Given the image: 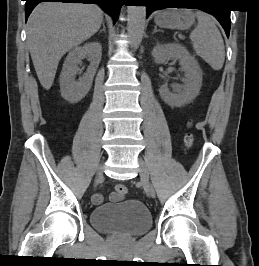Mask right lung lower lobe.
Masks as SVG:
<instances>
[{
  "mask_svg": "<svg viewBox=\"0 0 259 266\" xmlns=\"http://www.w3.org/2000/svg\"><path fill=\"white\" fill-rule=\"evenodd\" d=\"M25 18L40 2H62V3H84V4H98L107 14L113 17L114 22L117 21L120 8L125 2L124 0H25Z\"/></svg>",
  "mask_w": 259,
  "mask_h": 266,
  "instance_id": "obj_1",
  "label": "right lung lower lobe"
}]
</instances>
